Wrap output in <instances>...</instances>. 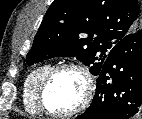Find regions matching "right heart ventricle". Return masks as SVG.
I'll use <instances>...</instances> for the list:
<instances>
[{"label":"right heart ventricle","mask_w":142,"mask_h":119,"mask_svg":"<svg viewBox=\"0 0 142 119\" xmlns=\"http://www.w3.org/2000/svg\"><path fill=\"white\" fill-rule=\"evenodd\" d=\"M52 67L50 63L42 64L32 70L24 81L23 104L26 111L30 114L37 115L42 112L37 101L38 88L42 79Z\"/></svg>","instance_id":"1"}]
</instances>
